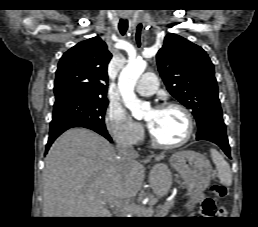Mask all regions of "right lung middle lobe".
Segmentation results:
<instances>
[{
	"label": "right lung middle lobe",
	"instance_id": "obj_1",
	"mask_svg": "<svg viewBox=\"0 0 258 227\" xmlns=\"http://www.w3.org/2000/svg\"><path fill=\"white\" fill-rule=\"evenodd\" d=\"M106 98L76 93H64L55 97L52 120H68L92 130L105 131Z\"/></svg>",
	"mask_w": 258,
	"mask_h": 227
}]
</instances>
